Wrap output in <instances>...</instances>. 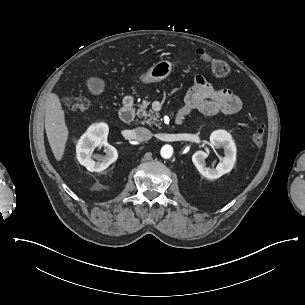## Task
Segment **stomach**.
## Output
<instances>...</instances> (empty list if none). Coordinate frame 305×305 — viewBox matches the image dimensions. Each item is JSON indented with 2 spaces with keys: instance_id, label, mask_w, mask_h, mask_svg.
I'll return each instance as SVG.
<instances>
[{
  "instance_id": "1",
  "label": "stomach",
  "mask_w": 305,
  "mask_h": 305,
  "mask_svg": "<svg viewBox=\"0 0 305 305\" xmlns=\"http://www.w3.org/2000/svg\"><path fill=\"white\" fill-rule=\"evenodd\" d=\"M173 71V64L168 59H161L155 62L149 70L142 74L139 83L143 85H152L164 81Z\"/></svg>"
}]
</instances>
